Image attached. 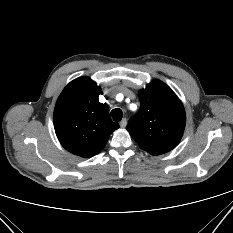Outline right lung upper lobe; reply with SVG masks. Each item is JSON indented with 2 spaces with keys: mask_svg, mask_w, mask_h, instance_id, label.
I'll return each mask as SVG.
<instances>
[{
  "mask_svg": "<svg viewBox=\"0 0 233 233\" xmlns=\"http://www.w3.org/2000/svg\"><path fill=\"white\" fill-rule=\"evenodd\" d=\"M101 88L88 77L70 82L60 94L54 110V128L69 152L89 158L98 154L109 136L119 128L109 108L99 102Z\"/></svg>",
  "mask_w": 233,
  "mask_h": 233,
  "instance_id": "obj_1",
  "label": "right lung upper lobe"
}]
</instances>
